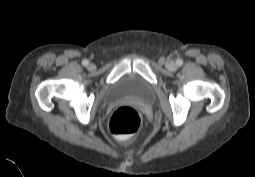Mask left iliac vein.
<instances>
[{"mask_svg": "<svg viewBox=\"0 0 255 177\" xmlns=\"http://www.w3.org/2000/svg\"><path fill=\"white\" fill-rule=\"evenodd\" d=\"M167 68H168L169 70H172V71H173V70H176L177 65H176L175 62L170 61V62L167 63Z\"/></svg>", "mask_w": 255, "mask_h": 177, "instance_id": "left-iliac-vein-1", "label": "left iliac vein"}]
</instances>
